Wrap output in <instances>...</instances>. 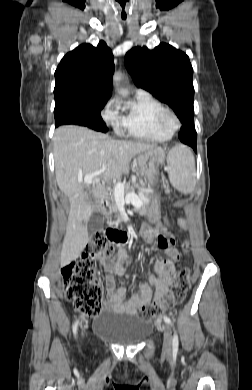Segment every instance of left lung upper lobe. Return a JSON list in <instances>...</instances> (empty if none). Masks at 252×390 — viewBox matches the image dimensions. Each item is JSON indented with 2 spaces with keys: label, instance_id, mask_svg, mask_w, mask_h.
Returning <instances> with one entry per match:
<instances>
[{
  "label": "left lung upper lobe",
  "instance_id": "left-lung-upper-lobe-1",
  "mask_svg": "<svg viewBox=\"0 0 252 390\" xmlns=\"http://www.w3.org/2000/svg\"><path fill=\"white\" fill-rule=\"evenodd\" d=\"M125 64L137 87L168 104L182 123L194 121L193 68L184 52L166 43L153 50L135 47Z\"/></svg>",
  "mask_w": 252,
  "mask_h": 390
}]
</instances>
